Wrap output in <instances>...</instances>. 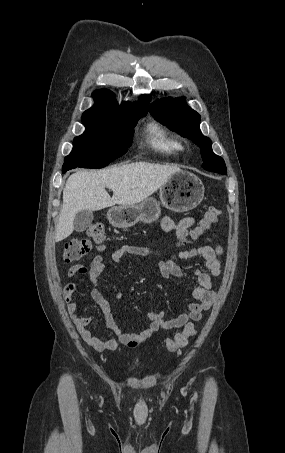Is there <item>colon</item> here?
Masks as SVG:
<instances>
[{"label": "colon", "mask_w": 285, "mask_h": 453, "mask_svg": "<svg viewBox=\"0 0 285 453\" xmlns=\"http://www.w3.org/2000/svg\"><path fill=\"white\" fill-rule=\"evenodd\" d=\"M220 211L215 207H209L199 224L193 229L191 238L197 239L201 237L206 231L219 220ZM106 240V232L103 224L99 222L92 223L87 231L86 236L81 238H74L70 240L64 247L63 259L66 262H76L85 257L96 245L99 249L103 248ZM196 334V327L193 323L185 326L184 330L177 333L173 338L166 341V349L169 351H176L185 347L189 339Z\"/></svg>", "instance_id": "5ec220e1"}]
</instances>
